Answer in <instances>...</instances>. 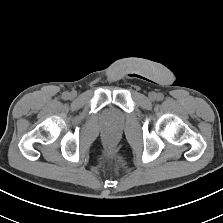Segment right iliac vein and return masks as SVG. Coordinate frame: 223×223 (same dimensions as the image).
<instances>
[{
	"mask_svg": "<svg viewBox=\"0 0 223 223\" xmlns=\"http://www.w3.org/2000/svg\"><path fill=\"white\" fill-rule=\"evenodd\" d=\"M76 96V93L75 92H72L71 94H70V97L71 98H74Z\"/></svg>",
	"mask_w": 223,
	"mask_h": 223,
	"instance_id": "right-iliac-vein-1",
	"label": "right iliac vein"
}]
</instances>
